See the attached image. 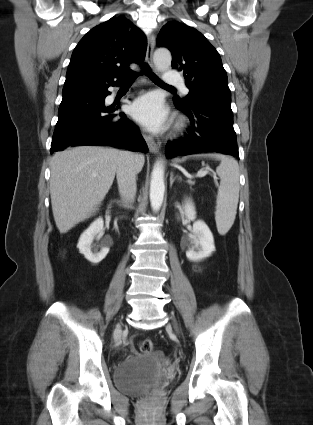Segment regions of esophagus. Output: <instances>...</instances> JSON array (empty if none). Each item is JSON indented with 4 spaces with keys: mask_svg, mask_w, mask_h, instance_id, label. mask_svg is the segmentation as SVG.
I'll list each match as a JSON object with an SVG mask.
<instances>
[{
    "mask_svg": "<svg viewBox=\"0 0 313 425\" xmlns=\"http://www.w3.org/2000/svg\"><path fill=\"white\" fill-rule=\"evenodd\" d=\"M155 46V38L153 35H150L148 38V45L146 50V63L150 65L153 68V50ZM143 138L146 141L148 148L150 152H157L158 151V144L155 142V140L148 134H143Z\"/></svg>",
    "mask_w": 313,
    "mask_h": 425,
    "instance_id": "obj_1",
    "label": "esophagus"
}]
</instances>
